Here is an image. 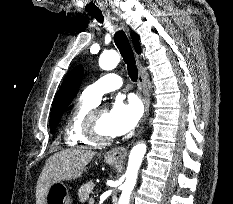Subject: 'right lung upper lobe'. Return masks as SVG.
Segmentation results:
<instances>
[{
    "instance_id": "right-lung-upper-lobe-1",
    "label": "right lung upper lobe",
    "mask_w": 233,
    "mask_h": 204,
    "mask_svg": "<svg viewBox=\"0 0 233 204\" xmlns=\"http://www.w3.org/2000/svg\"><path fill=\"white\" fill-rule=\"evenodd\" d=\"M131 38L134 44V48L136 50L137 53H140V44H139V40H138V36L135 33H131Z\"/></svg>"
}]
</instances>
